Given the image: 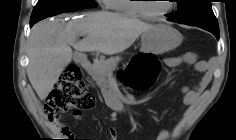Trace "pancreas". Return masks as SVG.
Returning a JSON list of instances; mask_svg holds the SVG:
<instances>
[{"mask_svg":"<svg viewBox=\"0 0 236 140\" xmlns=\"http://www.w3.org/2000/svg\"><path fill=\"white\" fill-rule=\"evenodd\" d=\"M118 62L119 58L99 59L95 61L91 67L90 74L93 80L96 81L100 89L106 91L109 94H112L109 82Z\"/></svg>","mask_w":236,"mask_h":140,"instance_id":"1","label":"pancreas"}]
</instances>
